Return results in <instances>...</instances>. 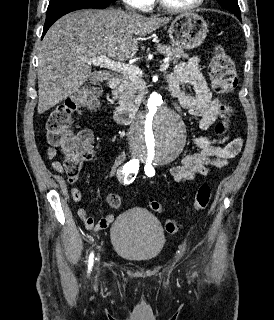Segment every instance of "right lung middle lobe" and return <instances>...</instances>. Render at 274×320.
Returning a JSON list of instances; mask_svg holds the SVG:
<instances>
[{
  "instance_id": "right-lung-middle-lobe-1",
  "label": "right lung middle lobe",
  "mask_w": 274,
  "mask_h": 320,
  "mask_svg": "<svg viewBox=\"0 0 274 320\" xmlns=\"http://www.w3.org/2000/svg\"><path fill=\"white\" fill-rule=\"evenodd\" d=\"M116 0H50L47 13H50L54 10L63 8L65 6L80 4V3H89V2H115Z\"/></svg>"
}]
</instances>
